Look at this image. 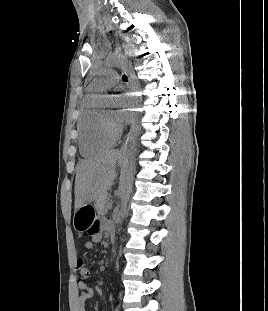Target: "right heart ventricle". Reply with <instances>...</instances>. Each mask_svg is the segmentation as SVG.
<instances>
[{
	"instance_id": "obj_1",
	"label": "right heart ventricle",
	"mask_w": 268,
	"mask_h": 311,
	"mask_svg": "<svg viewBox=\"0 0 268 311\" xmlns=\"http://www.w3.org/2000/svg\"><path fill=\"white\" fill-rule=\"evenodd\" d=\"M78 145L84 156H93L110 148L115 138L105 134L101 113L94 108L92 97H87L81 106L78 120Z\"/></svg>"
}]
</instances>
